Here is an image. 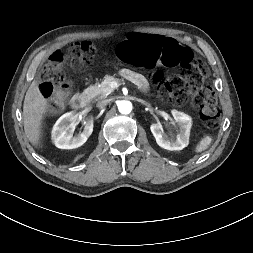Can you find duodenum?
<instances>
[{
    "instance_id": "duodenum-1",
    "label": "duodenum",
    "mask_w": 253,
    "mask_h": 253,
    "mask_svg": "<svg viewBox=\"0 0 253 253\" xmlns=\"http://www.w3.org/2000/svg\"><path fill=\"white\" fill-rule=\"evenodd\" d=\"M90 102V95L87 93H80L73 96L71 99V106L74 109L80 110L87 107Z\"/></svg>"
}]
</instances>
